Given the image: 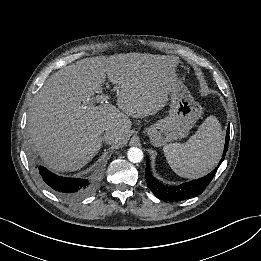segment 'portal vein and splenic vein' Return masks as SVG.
Segmentation results:
<instances>
[{"instance_id": "portal-vein-and-splenic-vein-1", "label": "portal vein and splenic vein", "mask_w": 261, "mask_h": 261, "mask_svg": "<svg viewBox=\"0 0 261 261\" xmlns=\"http://www.w3.org/2000/svg\"><path fill=\"white\" fill-rule=\"evenodd\" d=\"M107 98L108 96H104V95H98L95 97V102H98V103H103V102H107Z\"/></svg>"}]
</instances>
